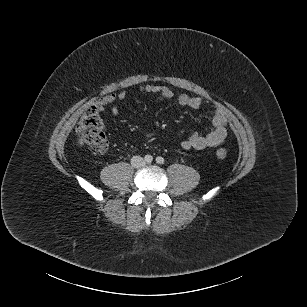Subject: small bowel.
I'll use <instances>...</instances> for the list:
<instances>
[{
	"mask_svg": "<svg viewBox=\"0 0 307 307\" xmlns=\"http://www.w3.org/2000/svg\"><path fill=\"white\" fill-rule=\"evenodd\" d=\"M141 92L146 94L159 95L163 98L169 99L174 96L173 91L160 85H145L141 87ZM127 97L125 92L118 94H108L95 103V107L102 111L106 106H111V112L118 114L117 102L124 100ZM178 103L181 106L191 109H201L205 106V102L200 97L189 96L187 94H181L177 97ZM212 128L206 135L199 133H193L188 138L181 141L180 146L184 150H197L201 151L206 148H214L222 144L227 136L228 120L224 113L218 107H212ZM147 137H150L148 134Z\"/></svg>",
	"mask_w": 307,
	"mask_h": 307,
	"instance_id": "obj_1",
	"label": "small bowel"
}]
</instances>
